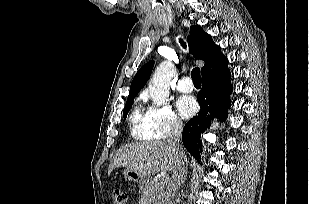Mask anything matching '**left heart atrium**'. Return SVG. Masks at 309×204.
Segmentation results:
<instances>
[{"mask_svg": "<svg viewBox=\"0 0 309 204\" xmlns=\"http://www.w3.org/2000/svg\"><path fill=\"white\" fill-rule=\"evenodd\" d=\"M177 106L180 114L185 118L192 116L197 110V103L191 96H181L177 101Z\"/></svg>", "mask_w": 309, "mask_h": 204, "instance_id": "obj_1", "label": "left heart atrium"}]
</instances>
